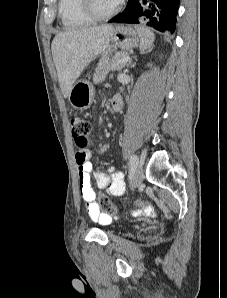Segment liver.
I'll return each mask as SVG.
<instances>
[{"instance_id":"liver-1","label":"liver","mask_w":227,"mask_h":298,"mask_svg":"<svg viewBox=\"0 0 227 298\" xmlns=\"http://www.w3.org/2000/svg\"><path fill=\"white\" fill-rule=\"evenodd\" d=\"M112 25L72 29L59 33L52 41L53 61L62 94L65 98L85 67L108 47Z\"/></svg>"}]
</instances>
